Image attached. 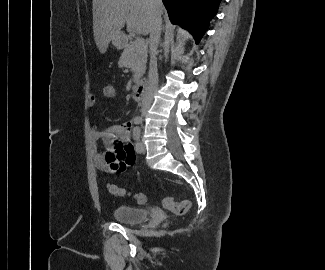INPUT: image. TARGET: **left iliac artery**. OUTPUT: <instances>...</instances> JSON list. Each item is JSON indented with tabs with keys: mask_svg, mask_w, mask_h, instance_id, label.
I'll use <instances>...</instances> for the list:
<instances>
[{
	"mask_svg": "<svg viewBox=\"0 0 325 270\" xmlns=\"http://www.w3.org/2000/svg\"><path fill=\"white\" fill-rule=\"evenodd\" d=\"M133 138L135 140V149L138 152V150L140 149V128L139 127H135L133 129Z\"/></svg>",
	"mask_w": 325,
	"mask_h": 270,
	"instance_id": "1",
	"label": "left iliac artery"
}]
</instances>
